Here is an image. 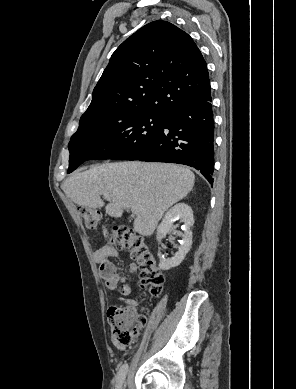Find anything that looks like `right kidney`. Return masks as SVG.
Masks as SVG:
<instances>
[{
    "instance_id": "1",
    "label": "right kidney",
    "mask_w": 296,
    "mask_h": 389,
    "mask_svg": "<svg viewBox=\"0 0 296 389\" xmlns=\"http://www.w3.org/2000/svg\"><path fill=\"white\" fill-rule=\"evenodd\" d=\"M177 220H180V222L183 223L181 227L183 233H178L182 237V240L180 241L178 251L173 257L167 259L163 258L160 261L159 267L162 270L167 271L177 267L184 260L192 245L191 227L194 224L193 211L192 208L185 203L176 204L166 212L161 224L157 228L158 242H161L169 232H174V222Z\"/></svg>"
}]
</instances>
